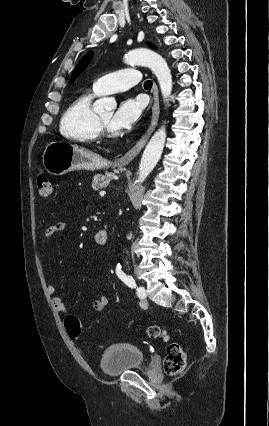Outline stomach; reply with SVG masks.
Listing matches in <instances>:
<instances>
[{
  "instance_id": "stomach-1",
  "label": "stomach",
  "mask_w": 269,
  "mask_h": 426,
  "mask_svg": "<svg viewBox=\"0 0 269 426\" xmlns=\"http://www.w3.org/2000/svg\"><path fill=\"white\" fill-rule=\"evenodd\" d=\"M42 163L44 169L54 176L74 170L104 169L112 165L110 161L91 151L63 141H51L47 144L42 155Z\"/></svg>"
}]
</instances>
